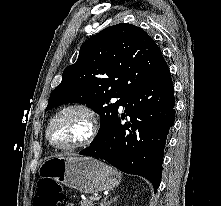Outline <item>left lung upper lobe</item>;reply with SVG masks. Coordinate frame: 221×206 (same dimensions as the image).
I'll use <instances>...</instances> for the list:
<instances>
[{
  "label": "left lung upper lobe",
  "mask_w": 221,
  "mask_h": 206,
  "mask_svg": "<svg viewBox=\"0 0 221 206\" xmlns=\"http://www.w3.org/2000/svg\"><path fill=\"white\" fill-rule=\"evenodd\" d=\"M167 69L159 47L143 29L128 23L107 27L82 44L76 63L66 67L52 91L46 110L70 102L88 105L101 117L93 144L114 125L119 106Z\"/></svg>",
  "instance_id": "1"
}]
</instances>
